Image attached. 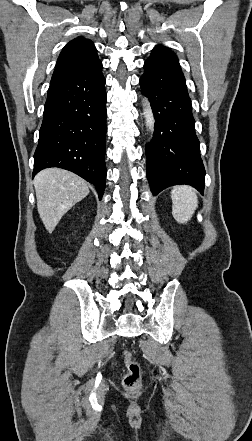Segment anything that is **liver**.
Masks as SVG:
<instances>
[{"label":"liver","instance_id":"6515ba94","mask_svg":"<svg viewBox=\"0 0 252 441\" xmlns=\"http://www.w3.org/2000/svg\"><path fill=\"white\" fill-rule=\"evenodd\" d=\"M33 184L38 213L49 233L55 229L64 214L89 194V186L85 180L59 168L40 171Z\"/></svg>","mask_w":252,"mask_h":441}]
</instances>
